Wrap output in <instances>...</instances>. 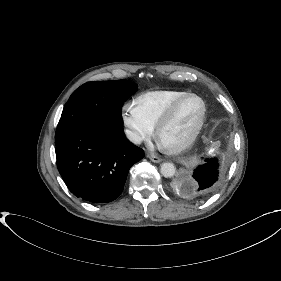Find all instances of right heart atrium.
I'll use <instances>...</instances> for the list:
<instances>
[{
	"label": "right heart atrium",
	"instance_id": "right-heart-atrium-1",
	"mask_svg": "<svg viewBox=\"0 0 281 281\" xmlns=\"http://www.w3.org/2000/svg\"><path fill=\"white\" fill-rule=\"evenodd\" d=\"M122 120L128 137L134 143L149 138L153 132V127L145 120L135 102L123 104Z\"/></svg>",
	"mask_w": 281,
	"mask_h": 281
}]
</instances>
